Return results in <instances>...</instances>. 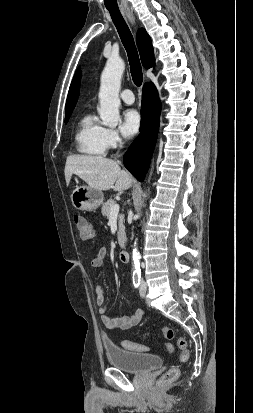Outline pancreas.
<instances>
[{
    "label": "pancreas",
    "instance_id": "obj_1",
    "mask_svg": "<svg viewBox=\"0 0 253 413\" xmlns=\"http://www.w3.org/2000/svg\"><path fill=\"white\" fill-rule=\"evenodd\" d=\"M113 205H115V200L112 198L102 205V209H101L102 215L107 217V219L110 217L111 207ZM123 222H124V216L122 214H119L118 215V226H119L118 241L120 244H121L122 237L125 234V226Z\"/></svg>",
    "mask_w": 253,
    "mask_h": 413
}]
</instances>
